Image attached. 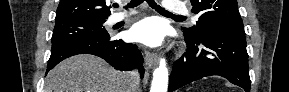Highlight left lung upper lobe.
I'll list each match as a JSON object with an SVG mask.
<instances>
[{
  "mask_svg": "<svg viewBox=\"0 0 289 92\" xmlns=\"http://www.w3.org/2000/svg\"><path fill=\"white\" fill-rule=\"evenodd\" d=\"M192 12L199 14L196 26L182 27L185 37L199 40L209 30H229L244 33L237 0H191Z\"/></svg>",
  "mask_w": 289,
  "mask_h": 92,
  "instance_id": "left-lung-upper-lobe-1",
  "label": "left lung upper lobe"
}]
</instances>
